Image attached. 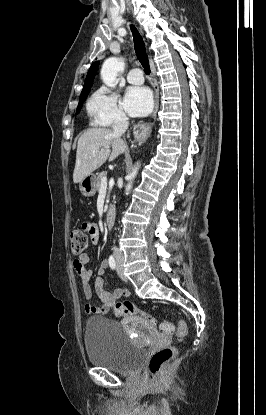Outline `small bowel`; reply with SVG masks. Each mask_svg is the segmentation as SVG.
<instances>
[{"instance_id": "c3829d8e", "label": "small bowel", "mask_w": 266, "mask_h": 415, "mask_svg": "<svg viewBox=\"0 0 266 415\" xmlns=\"http://www.w3.org/2000/svg\"><path fill=\"white\" fill-rule=\"evenodd\" d=\"M83 229L89 233L92 243L96 244L99 239V229L97 223L85 222L83 224ZM88 263L89 257L87 254H81L73 261V267L81 277L83 293L87 300H89L92 295L90 282L93 276V271L86 267ZM108 265L109 262L106 260L101 262L97 271V277L94 281V290L100 304L93 305L91 303H87L85 305V312L87 314H107L115 305L117 299L127 297L129 295V291L122 287L116 288L112 293L105 289L103 276L108 268Z\"/></svg>"}]
</instances>
